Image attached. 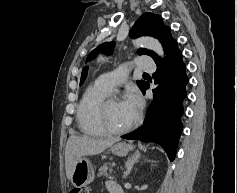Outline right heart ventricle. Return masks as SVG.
Wrapping results in <instances>:
<instances>
[{"label":"right heart ventricle","instance_id":"obj_1","mask_svg":"<svg viewBox=\"0 0 237 193\" xmlns=\"http://www.w3.org/2000/svg\"><path fill=\"white\" fill-rule=\"evenodd\" d=\"M110 93L111 90L98 81L85 90L77 108V122L82 133L90 136H104L106 134L97 124L96 111L99 102Z\"/></svg>","mask_w":237,"mask_h":193}]
</instances>
